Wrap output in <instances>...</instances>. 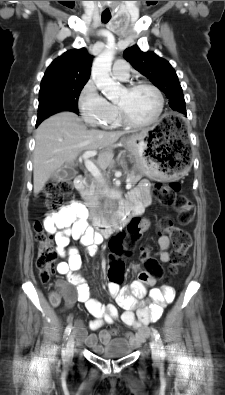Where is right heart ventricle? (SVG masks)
I'll use <instances>...</instances> for the list:
<instances>
[{
	"instance_id": "obj_1",
	"label": "right heart ventricle",
	"mask_w": 225,
	"mask_h": 395,
	"mask_svg": "<svg viewBox=\"0 0 225 395\" xmlns=\"http://www.w3.org/2000/svg\"><path fill=\"white\" fill-rule=\"evenodd\" d=\"M121 123L118 115L116 114V116L114 117V119L109 123V125L107 127H117L119 126Z\"/></svg>"
}]
</instances>
